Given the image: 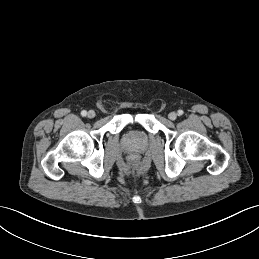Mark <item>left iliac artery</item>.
Here are the masks:
<instances>
[{
	"label": "left iliac artery",
	"instance_id": "obj_1",
	"mask_svg": "<svg viewBox=\"0 0 259 259\" xmlns=\"http://www.w3.org/2000/svg\"><path fill=\"white\" fill-rule=\"evenodd\" d=\"M183 110H178V115L181 116L183 114Z\"/></svg>",
	"mask_w": 259,
	"mask_h": 259
}]
</instances>
